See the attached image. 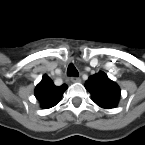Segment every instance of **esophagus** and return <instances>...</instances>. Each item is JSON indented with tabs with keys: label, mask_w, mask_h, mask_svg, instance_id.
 Returning a JSON list of instances; mask_svg holds the SVG:
<instances>
[{
	"label": "esophagus",
	"mask_w": 145,
	"mask_h": 145,
	"mask_svg": "<svg viewBox=\"0 0 145 145\" xmlns=\"http://www.w3.org/2000/svg\"><path fill=\"white\" fill-rule=\"evenodd\" d=\"M73 83L81 82V79L79 77H71L70 79Z\"/></svg>",
	"instance_id": "obj_1"
}]
</instances>
